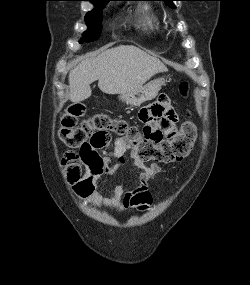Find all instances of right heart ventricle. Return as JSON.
<instances>
[{
	"instance_id": "obj_1",
	"label": "right heart ventricle",
	"mask_w": 250,
	"mask_h": 285,
	"mask_svg": "<svg viewBox=\"0 0 250 285\" xmlns=\"http://www.w3.org/2000/svg\"><path fill=\"white\" fill-rule=\"evenodd\" d=\"M144 18L142 20L141 26L144 30L149 32H157L160 30V21L159 19L149 13L147 6L143 7Z\"/></svg>"
}]
</instances>
